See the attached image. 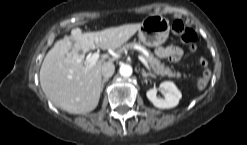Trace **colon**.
<instances>
[{
    "mask_svg": "<svg viewBox=\"0 0 247 145\" xmlns=\"http://www.w3.org/2000/svg\"><path fill=\"white\" fill-rule=\"evenodd\" d=\"M171 30L174 34L178 35L182 42L187 44H193L196 42L197 35L191 28H186L181 20H175L172 23ZM199 64L203 68L202 74L197 81L199 88H205L208 85L210 79V70L208 69V61L205 58L199 59Z\"/></svg>",
    "mask_w": 247,
    "mask_h": 145,
    "instance_id": "colon-1",
    "label": "colon"
}]
</instances>
